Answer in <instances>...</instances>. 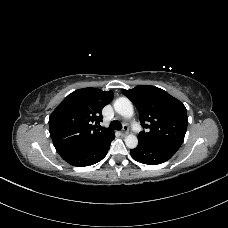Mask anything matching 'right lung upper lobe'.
Listing matches in <instances>:
<instances>
[{
  "mask_svg": "<svg viewBox=\"0 0 228 228\" xmlns=\"http://www.w3.org/2000/svg\"><path fill=\"white\" fill-rule=\"evenodd\" d=\"M112 99V91L96 88H83L69 94L49 118V131L56 151L61 154L85 148L114 133L95 127L103 119V107Z\"/></svg>",
  "mask_w": 228,
  "mask_h": 228,
  "instance_id": "right-lung-upper-lobe-1",
  "label": "right lung upper lobe"
}]
</instances>
